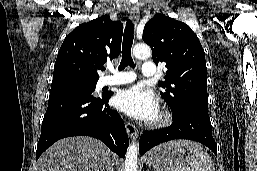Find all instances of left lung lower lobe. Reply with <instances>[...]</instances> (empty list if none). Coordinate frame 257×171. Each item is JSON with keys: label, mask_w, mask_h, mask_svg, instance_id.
<instances>
[{"label": "left lung lower lobe", "mask_w": 257, "mask_h": 171, "mask_svg": "<svg viewBox=\"0 0 257 171\" xmlns=\"http://www.w3.org/2000/svg\"><path fill=\"white\" fill-rule=\"evenodd\" d=\"M174 139H189L200 142L217 155V145L212 137L208 110L198 107L183 108L174 113L173 123L169 127L144 132L139 143L140 154L143 155L152 147Z\"/></svg>", "instance_id": "0a47b994"}]
</instances>
